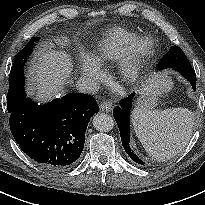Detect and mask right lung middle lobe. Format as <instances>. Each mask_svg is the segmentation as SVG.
I'll return each instance as SVG.
<instances>
[{
    "label": "right lung middle lobe",
    "instance_id": "dd1d6c3e",
    "mask_svg": "<svg viewBox=\"0 0 205 205\" xmlns=\"http://www.w3.org/2000/svg\"><path fill=\"white\" fill-rule=\"evenodd\" d=\"M37 40H39L38 37H33L30 39L27 45L20 52H18L11 68L7 95V109L9 113L16 110L26 99L24 91V65L28 56L32 53L33 47Z\"/></svg>",
    "mask_w": 205,
    "mask_h": 205
}]
</instances>
